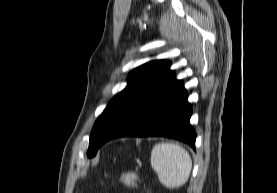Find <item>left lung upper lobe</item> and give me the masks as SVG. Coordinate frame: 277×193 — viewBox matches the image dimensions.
I'll return each mask as SVG.
<instances>
[{
    "label": "left lung upper lobe",
    "instance_id": "left-lung-upper-lobe-1",
    "mask_svg": "<svg viewBox=\"0 0 277 193\" xmlns=\"http://www.w3.org/2000/svg\"><path fill=\"white\" fill-rule=\"evenodd\" d=\"M169 67L167 60H154L130 72L126 88L110 101L92 128L87 151L89 158L96 155L104 134L130 105L175 75Z\"/></svg>",
    "mask_w": 277,
    "mask_h": 193
}]
</instances>
